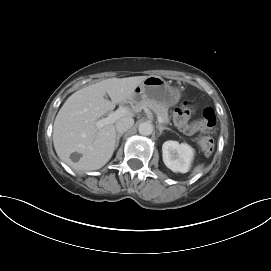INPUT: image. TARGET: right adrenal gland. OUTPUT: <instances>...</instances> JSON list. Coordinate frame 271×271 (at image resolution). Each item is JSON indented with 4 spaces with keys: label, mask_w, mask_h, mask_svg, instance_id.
<instances>
[{
    "label": "right adrenal gland",
    "mask_w": 271,
    "mask_h": 271,
    "mask_svg": "<svg viewBox=\"0 0 271 271\" xmlns=\"http://www.w3.org/2000/svg\"><path fill=\"white\" fill-rule=\"evenodd\" d=\"M123 133H120V134H117V137H116V148L118 147L119 145V140L120 138L122 137Z\"/></svg>",
    "instance_id": "1"
}]
</instances>
